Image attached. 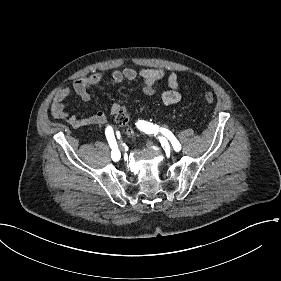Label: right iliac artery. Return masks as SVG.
<instances>
[{"label":"right iliac artery","instance_id":"82829eb1","mask_svg":"<svg viewBox=\"0 0 281 281\" xmlns=\"http://www.w3.org/2000/svg\"><path fill=\"white\" fill-rule=\"evenodd\" d=\"M105 134L112 149L111 157L114 161H118L120 159V151L118 150L117 142L115 140L113 129L111 126H108L106 128Z\"/></svg>","mask_w":281,"mask_h":281}]
</instances>
